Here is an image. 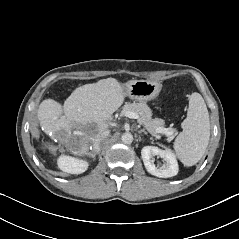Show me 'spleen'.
<instances>
[{"label":"spleen","instance_id":"spleen-1","mask_svg":"<svg viewBox=\"0 0 239 239\" xmlns=\"http://www.w3.org/2000/svg\"><path fill=\"white\" fill-rule=\"evenodd\" d=\"M183 131L177 136L174 150L185 166H193L203 157L210 138L209 113L199 93H192Z\"/></svg>","mask_w":239,"mask_h":239}]
</instances>
